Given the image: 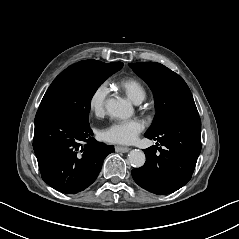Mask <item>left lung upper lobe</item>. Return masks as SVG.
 Listing matches in <instances>:
<instances>
[{
    "label": "left lung upper lobe",
    "mask_w": 239,
    "mask_h": 239,
    "mask_svg": "<svg viewBox=\"0 0 239 239\" xmlns=\"http://www.w3.org/2000/svg\"><path fill=\"white\" fill-rule=\"evenodd\" d=\"M129 66L153 91L156 115L146 135H156L171 120L198 114L191 91L185 81L162 64L155 62L131 63Z\"/></svg>",
    "instance_id": "left-lung-upper-lobe-1"
}]
</instances>
